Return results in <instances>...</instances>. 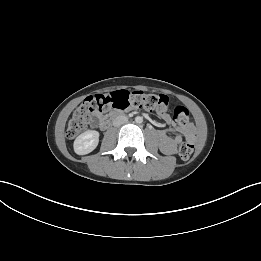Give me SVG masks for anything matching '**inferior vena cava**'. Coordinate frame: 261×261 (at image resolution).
<instances>
[{
  "label": "inferior vena cava",
  "mask_w": 261,
  "mask_h": 261,
  "mask_svg": "<svg viewBox=\"0 0 261 261\" xmlns=\"http://www.w3.org/2000/svg\"><path fill=\"white\" fill-rule=\"evenodd\" d=\"M128 118L126 116H118L117 118L114 119L113 125L118 127L121 126L125 123H127Z\"/></svg>",
  "instance_id": "602c4592"
}]
</instances>
